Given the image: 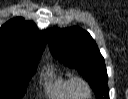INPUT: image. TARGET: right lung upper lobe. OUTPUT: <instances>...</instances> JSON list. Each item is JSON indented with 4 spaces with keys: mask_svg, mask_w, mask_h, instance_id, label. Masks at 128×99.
<instances>
[{
    "mask_svg": "<svg viewBox=\"0 0 128 99\" xmlns=\"http://www.w3.org/2000/svg\"><path fill=\"white\" fill-rule=\"evenodd\" d=\"M46 45V32H38L32 22L22 17L9 20L0 28V56H41Z\"/></svg>",
    "mask_w": 128,
    "mask_h": 99,
    "instance_id": "1",
    "label": "right lung upper lobe"
}]
</instances>
